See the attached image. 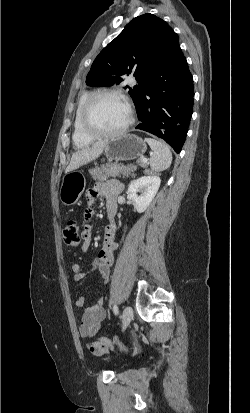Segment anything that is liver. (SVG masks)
<instances>
[{
  "label": "liver",
  "mask_w": 250,
  "mask_h": 413,
  "mask_svg": "<svg viewBox=\"0 0 250 413\" xmlns=\"http://www.w3.org/2000/svg\"><path fill=\"white\" fill-rule=\"evenodd\" d=\"M106 142L107 141H98L92 146H88L74 152L65 173H70L78 169L80 166L97 159L103 153Z\"/></svg>",
  "instance_id": "1"
}]
</instances>
